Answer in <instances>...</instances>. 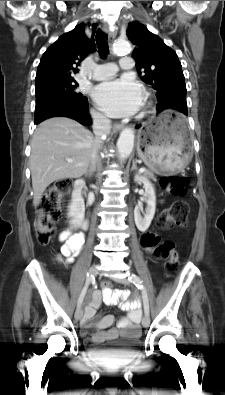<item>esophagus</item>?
<instances>
[{"instance_id":"1","label":"esophagus","mask_w":225,"mask_h":395,"mask_svg":"<svg viewBox=\"0 0 225 395\" xmlns=\"http://www.w3.org/2000/svg\"><path fill=\"white\" fill-rule=\"evenodd\" d=\"M103 30H104L105 33L108 34V36H109V41L112 43V42L114 41L115 37H116V31L111 30V29L109 28L108 24H106V23L103 24ZM123 127H124V125L119 124V123H116V124H114L113 129H114V131H119V130H121Z\"/></svg>"}]
</instances>
